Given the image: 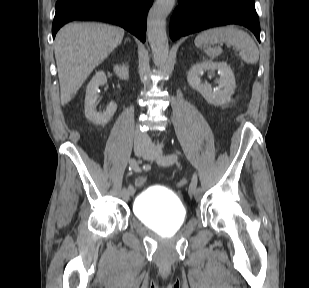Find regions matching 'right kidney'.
I'll return each mask as SVG.
<instances>
[{"instance_id":"ca27d5eb","label":"right kidney","mask_w":309,"mask_h":288,"mask_svg":"<svg viewBox=\"0 0 309 288\" xmlns=\"http://www.w3.org/2000/svg\"><path fill=\"white\" fill-rule=\"evenodd\" d=\"M115 74L122 80H128L129 68L125 65L114 66ZM107 82L106 75L103 71L97 72L87 86L85 97V116L89 121L97 125H105L113 117L116 112L117 105L115 102H110L103 113L95 111V104L98 99L99 86Z\"/></svg>"}]
</instances>
